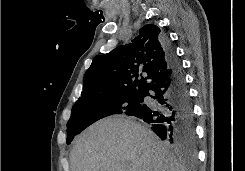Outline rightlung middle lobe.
<instances>
[{
	"label": "right lung middle lobe",
	"instance_id": "obj_1",
	"mask_svg": "<svg viewBox=\"0 0 245 171\" xmlns=\"http://www.w3.org/2000/svg\"><path fill=\"white\" fill-rule=\"evenodd\" d=\"M142 102L143 95H115L97 100L76 102L67 123V144L71 143L75 135L99 119L114 114H134L142 106Z\"/></svg>",
	"mask_w": 245,
	"mask_h": 171
}]
</instances>
